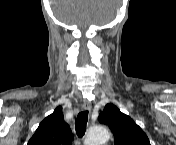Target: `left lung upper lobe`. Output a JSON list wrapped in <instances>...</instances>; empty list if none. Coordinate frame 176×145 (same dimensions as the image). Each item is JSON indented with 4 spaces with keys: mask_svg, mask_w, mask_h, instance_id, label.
<instances>
[{
    "mask_svg": "<svg viewBox=\"0 0 176 145\" xmlns=\"http://www.w3.org/2000/svg\"><path fill=\"white\" fill-rule=\"evenodd\" d=\"M99 122L109 126L115 145H150L143 130L113 104L105 106L104 112L99 115Z\"/></svg>",
    "mask_w": 176,
    "mask_h": 145,
    "instance_id": "obj_1",
    "label": "left lung upper lobe"
}]
</instances>
